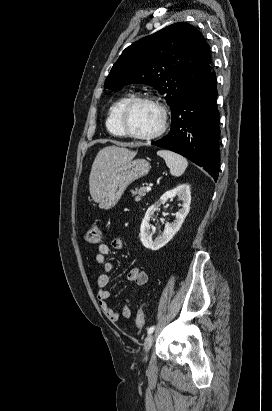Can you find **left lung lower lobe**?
Segmentation results:
<instances>
[{"instance_id": "left-lung-lower-lobe-1", "label": "left lung lower lobe", "mask_w": 272, "mask_h": 411, "mask_svg": "<svg viewBox=\"0 0 272 411\" xmlns=\"http://www.w3.org/2000/svg\"><path fill=\"white\" fill-rule=\"evenodd\" d=\"M215 72L210 74L180 102L172 114L170 132L156 145L174 151L203 167L218 179L219 112L216 105Z\"/></svg>"}]
</instances>
